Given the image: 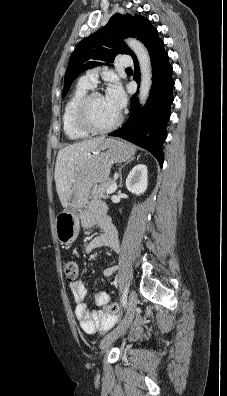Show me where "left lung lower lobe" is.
<instances>
[{
	"label": "left lung lower lobe",
	"mask_w": 227,
	"mask_h": 396,
	"mask_svg": "<svg viewBox=\"0 0 227 396\" xmlns=\"http://www.w3.org/2000/svg\"><path fill=\"white\" fill-rule=\"evenodd\" d=\"M152 64V88L148 103L144 109L139 105L136 95L131 97V115L126 123L117 131L109 134L130 141L151 152L163 165L162 143L166 139V125L170 118V106L173 102L172 66L168 61V54L164 50L161 39L153 40L147 47ZM135 76L139 82V64L133 58ZM138 93V92H137ZM143 111V113H142Z\"/></svg>",
	"instance_id": "0a47b994"
}]
</instances>
